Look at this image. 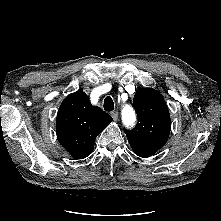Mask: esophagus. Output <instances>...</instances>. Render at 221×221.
Listing matches in <instances>:
<instances>
[{"mask_svg":"<svg viewBox=\"0 0 221 221\" xmlns=\"http://www.w3.org/2000/svg\"><path fill=\"white\" fill-rule=\"evenodd\" d=\"M111 116H112V118H113L115 121H117V119H118V112H117V111L111 112Z\"/></svg>","mask_w":221,"mask_h":221,"instance_id":"obj_1","label":"esophagus"}]
</instances>
